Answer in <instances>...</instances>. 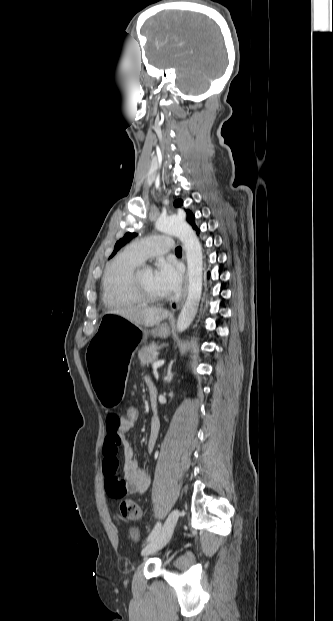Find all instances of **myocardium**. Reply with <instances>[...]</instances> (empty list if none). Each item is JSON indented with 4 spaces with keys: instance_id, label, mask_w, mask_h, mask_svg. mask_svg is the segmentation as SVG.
Returning a JSON list of instances; mask_svg holds the SVG:
<instances>
[{
    "instance_id": "1",
    "label": "myocardium",
    "mask_w": 333,
    "mask_h": 621,
    "mask_svg": "<svg viewBox=\"0 0 333 621\" xmlns=\"http://www.w3.org/2000/svg\"><path fill=\"white\" fill-rule=\"evenodd\" d=\"M144 269L145 268H137L133 272L130 278V282H129L130 292L141 303L159 304V303L164 302L167 299V297L152 296L148 292H146L145 289L142 287L140 276Z\"/></svg>"
}]
</instances>
